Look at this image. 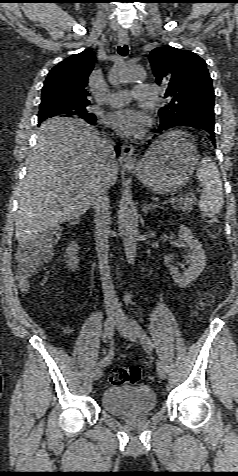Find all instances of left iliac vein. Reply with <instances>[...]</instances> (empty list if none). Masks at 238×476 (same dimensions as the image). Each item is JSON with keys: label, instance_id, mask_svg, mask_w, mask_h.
Here are the masks:
<instances>
[{"label": "left iliac vein", "instance_id": "left-iliac-vein-1", "mask_svg": "<svg viewBox=\"0 0 238 476\" xmlns=\"http://www.w3.org/2000/svg\"><path fill=\"white\" fill-rule=\"evenodd\" d=\"M116 327L123 337L132 342L135 341L136 334L134 331V327L131 322H128L126 320V317L122 311H119L118 313ZM157 373L160 379L164 380L166 378V368L162 361L157 362Z\"/></svg>", "mask_w": 238, "mask_h": 476}]
</instances>
